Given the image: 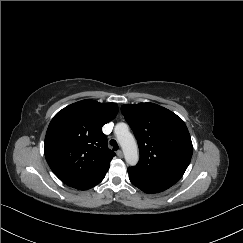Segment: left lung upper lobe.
I'll return each mask as SVG.
<instances>
[{
	"label": "left lung upper lobe",
	"mask_w": 243,
	"mask_h": 243,
	"mask_svg": "<svg viewBox=\"0 0 243 243\" xmlns=\"http://www.w3.org/2000/svg\"><path fill=\"white\" fill-rule=\"evenodd\" d=\"M121 111L137 139L140 160L128 168L130 176L148 178L184 174L193 152L183 120L154 103L124 104Z\"/></svg>",
	"instance_id": "obj_1"
}]
</instances>
